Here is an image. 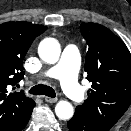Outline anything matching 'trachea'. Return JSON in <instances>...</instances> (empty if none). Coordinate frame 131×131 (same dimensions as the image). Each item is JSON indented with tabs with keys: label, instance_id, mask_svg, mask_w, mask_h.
Here are the masks:
<instances>
[{
	"label": "trachea",
	"instance_id": "trachea-1",
	"mask_svg": "<svg viewBox=\"0 0 131 131\" xmlns=\"http://www.w3.org/2000/svg\"><path fill=\"white\" fill-rule=\"evenodd\" d=\"M29 93L33 95H46L51 98H55L56 96V93L53 88L47 85H43V84H39V85L32 87L29 90Z\"/></svg>",
	"mask_w": 131,
	"mask_h": 131
}]
</instances>
